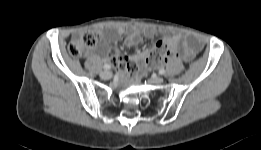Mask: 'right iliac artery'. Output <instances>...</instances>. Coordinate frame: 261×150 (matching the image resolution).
<instances>
[{"mask_svg": "<svg viewBox=\"0 0 261 150\" xmlns=\"http://www.w3.org/2000/svg\"><path fill=\"white\" fill-rule=\"evenodd\" d=\"M103 68H104L105 70H109V69L111 68V66H110L109 64H105V65L103 66Z\"/></svg>", "mask_w": 261, "mask_h": 150, "instance_id": "82829eb1", "label": "right iliac artery"}]
</instances>
